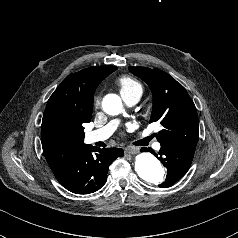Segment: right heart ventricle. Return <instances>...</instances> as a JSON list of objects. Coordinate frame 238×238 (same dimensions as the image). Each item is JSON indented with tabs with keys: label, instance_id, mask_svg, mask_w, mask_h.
Segmentation results:
<instances>
[{
	"label": "right heart ventricle",
	"instance_id": "1",
	"mask_svg": "<svg viewBox=\"0 0 238 238\" xmlns=\"http://www.w3.org/2000/svg\"><path fill=\"white\" fill-rule=\"evenodd\" d=\"M117 85L120 89L122 96L125 95H138L141 96L143 93L142 84L130 76H121L117 79Z\"/></svg>",
	"mask_w": 238,
	"mask_h": 238
}]
</instances>
